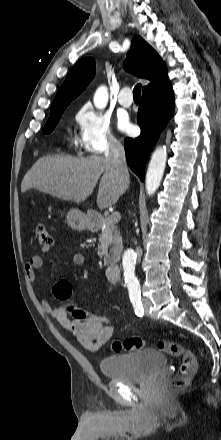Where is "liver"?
Here are the masks:
<instances>
[{
  "label": "liver",
  "mask_w": 221,
  "mask_h": 440,
  "mask_svg": "<svg viewBox=\"0 0 221 440\" xmlns=\"http://www.w3.org/2000/svg\"><path fill=\"white\" fill-rule=\"evenodd\" d=\"M99 182L97 205L105 209L114 205L127 189L105 157H42L22 180L21 191L37 189L43 193L76 203L84 202Z\"/></svg>",
  "instance_id": "obj_1"
}]
</instances>
